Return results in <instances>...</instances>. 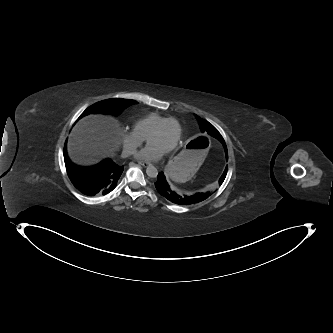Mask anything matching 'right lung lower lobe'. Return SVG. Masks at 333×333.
Instances as JSON below:
<instances>
[{"instance_id":"98d812e1","label":"right lung lower lobe","mask_w":333,"mask_h":333,"mask_svg":"<svg viewBox=\"0 0 333 333\" xmlns=\"http://www.w3.org/2000/svg\"><path fill=\"white\" fill-rule=\"evenodd\" d=\"M67 174L73 185L87 196L104 195L112 191L118 183L123 167L105 159L91 167H80L73 164L64 150Z\"/></svg>"}]
</instances>
